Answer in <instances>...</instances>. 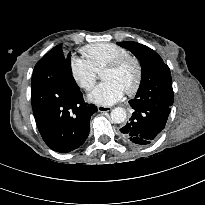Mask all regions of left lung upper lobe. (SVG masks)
Instances as JSON below:
<instances>
[{
    "label": "left lung upper lobe",
    "mask_w": 205,
    "mask_h": 205,
    "mask_svg": "<svg viewBox=\"0 0 205 205\" xmlns=\"http://www.w3.org/2000/svg\"><path fill=\"white\" fill-rule=\"evenodd\" d=\"M131 51L142 67V79L133 102L145 105L171 106L174 100L169 67L151 48L132 41L117 42Z\"/></svg>",
    "instance_id": "left-lung-upper-lobe-1"
}]
</instances>
